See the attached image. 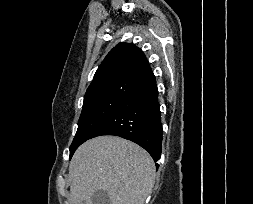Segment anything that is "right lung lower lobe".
Returning a JSON list of instances; mask_svg holds the SVG:
<instances>
[{"label":"right lung lower lobe","mask_w":253,"mask_h":204,"mask_svg":"<svg viewBox=\"0 0 253 204\" xmlns=\"http://www.w3.org/2000/svg\"><path fill=\"white\" fill-rule=\"evenodd\" d=\"M101 135H115L131 140L148 151L155 162L160 159L162 124L153 72L138 82L91 138ZM156 167L159 165L156 164Z\"/></svg>","instance_id":"right-lung-lower-lobe-1"}]
</instances>
